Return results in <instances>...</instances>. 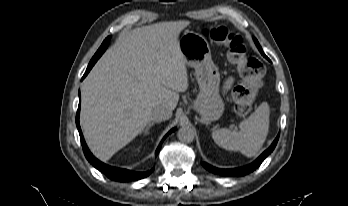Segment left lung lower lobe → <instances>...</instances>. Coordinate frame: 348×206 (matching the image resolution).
Returning a JSON list of instances; mask_svg holds the SVG:
<instances>
[{
  "instance_id": "0a47b994",
  "label": "left lung lower lobe",
  "mask_w": 348,
  "mask_h": 206,
  "mask_svg": "<svg viewBox=\"0 0 348 206\" xmlns=\"http://www.w3.org/2000/svg\"><path fill=\"white\" fill-rule=\"evenodd\" d=\"M279 138V134L272 143V145L264 151L254 162L251 164L241 167V168H234V169H219L216 167H213L207 163L202 162V165L204 168H206L208 171L213 172L215 174L224 175V176H243L246 175L252 171H254L256 168L260 166V164L265 160V158L274 150L277 141Z\"/></svg>"
}]
</instances>
